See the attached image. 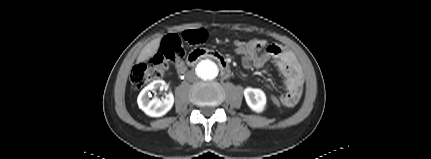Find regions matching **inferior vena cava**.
<instances>
[{
  "label": "inferior vena cava",
  "mask_w": 431,
  "mask_h": 159,
  "mask_svg": "<svg viewBox=\"0 0 431 159\" xmlns=\"http://www.w3.org/2000/svg\"><path fill=\"white\" fill-rule=\"evenodd\" d=\"M188 79L189 80H196L197 77H196V75H194V73L190 72V73H188Z\"/></svg>",
  "instance_id": "inferior-vena-cava-1"
}]
</instances>
